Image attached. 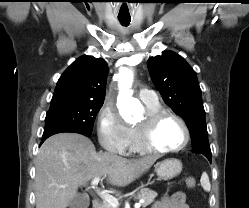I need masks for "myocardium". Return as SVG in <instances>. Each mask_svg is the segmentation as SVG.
<instances>
[{"mask_svg": "<svg viewBox=\"0 0 249 208\" xmlns=\"http://www.w3.org/2000/svg\"><path fill=\"white\" fill-rule=\"evenodd\" d=\"M166 118H172L176 120L183 128L184 140L182 144L176 148L160 149L151 143V135L153 131ZM136 135L137 144L141 152L151 154H169L179 152L189 144L191 138L190 129L184 119L179 115L167 110H160L155 113H147L142 122L136 126Z\"/></svg>", "mask_w": 249, "mask_h": 208, "instance_id": "obj_1", "label": "myocardium"}]
</instances>
